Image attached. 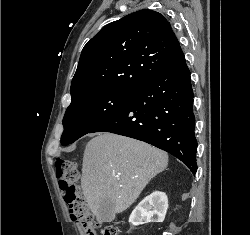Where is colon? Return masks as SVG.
<instances>
[{
  "label": "colon",
  "instance_id": "colon-1",
  "mask_svg": "<svg viewBox=\"0 0 250 235\" xmlns=\"http://www.w3.org/2000/svg\"><path fill=\"white\" fill-rule=\"evenodd\" d=\"M59 187L65 202L70 208L73 220L80 223L85 235H94L98 223L90 214L87 204L80 193L78 180L80 172L75 161L58 158L55 162ZM101 235H118L116 225H106L101 230Z\"/></svg>",
  "mask_w": 250,
  "mask_h": 235
}]
</instances>
